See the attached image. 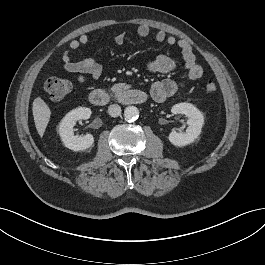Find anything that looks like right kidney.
I'll use <instances>...</instances> for the list:
<instances>
[{"label": "right kidney", "instance_id": "right-kidney-1", "mask_svg": "<svg viewBox=\"0 0 265 265\" xmlns=\"http://www.w3.org/2000/svg\"><path fill=\"white\" fill-rule=\"evenodd\" d=\"M91 110L85 107H78L68 112L59 124V134L65 147L73 151H83L90 148L94 143L91 134L85 136L74 135V125L79 119H88Z\"/></svg>", "mask_w": 265, "mask_h": 265}]
</instances>
